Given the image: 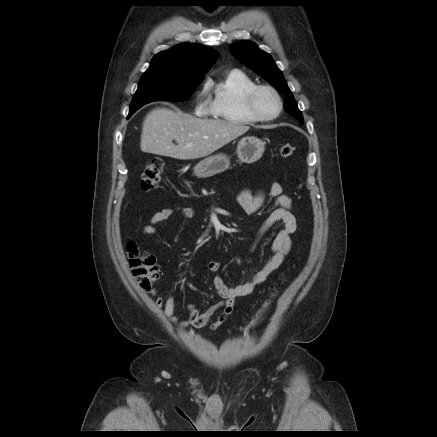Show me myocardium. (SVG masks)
Instances as JSON below:
<instances>
[{
  "label": "myocardium",
  "mask_w": 437,
  "mask_h": 437,
  "mask_svg": "<svg viewBox=\"0 0 437 437\" xmlns=\"http://www.w3.org/2000/svg\"><path fill=\"white\" fill-rule=\"evenodd\" d=\"M261 91L271 92L277 100L278 109L277 112L272 116H263L258 112L256 108V98ZM245 104L249 115L256 121H262V122H268L276 119L283 110V101L279 92L270 85H256L251 90H249V92L246 95Z\"/></svg>",
  "instance_id": "myocardium-1"
}]
</instances>
